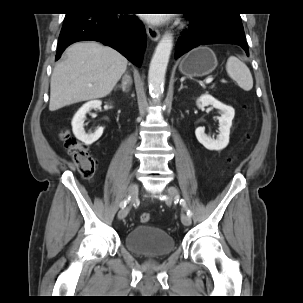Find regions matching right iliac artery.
Returning <instances> with one entry per match:
<instances>
[{
	"label": "right iliac artery",
	"mask_w": 303,
	"mask_h": 303,
	"mask_svg": "<svg viewBox=\"0 0 303 303\" xmlns=\"http://www.w3.org/2000/svg\"><path fill=\"white\" fill-rule=\"evenodd\" d=\"M130 196L126 197L121 203H120V207L124 208L126 206V204L130 201Z\"/></svg>",
	"instance_id": "82829eb1"
}]
</instances>
